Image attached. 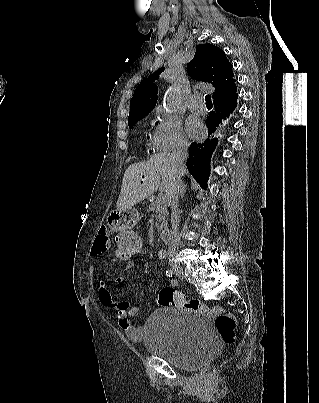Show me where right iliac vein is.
Masks as SVG:
<instances>
[{
	"label": "right iliac vein",
	"mask_w": 319,
	"mask_h": 403,
	"mask_svg": "<svg viewBox=\"0 0 319 403\" xmlns=\"http://www.w3.org/2000/svg\"><path fill=\"white\" fill-rule=\"evenodd\" d=\"M173 272L175 273V275L180 278L183 279L184 278V272L183 269L180 265L177 264H172L171 265Z\"/></svg>",
	"instance_id": "obj_1"
}]
</instances>
